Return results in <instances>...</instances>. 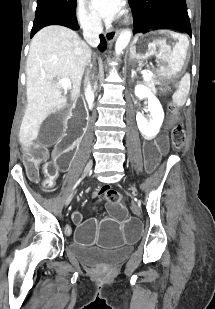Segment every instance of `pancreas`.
<instances>
[{
    "label": "pancreas",
    "mask_w": 215,
    "mask_h": 309,
    "mask_svg": "<svg viewBox=\"0 0 215 309\" xmlns=\"http://www.w3.org/2000/svg\"><path fill=\"white\" fill-rule=\"evenodd\" d=\"M144 82L145 84H148V86H152L153 90H156L154 78H150V80H144Z\"/></svg>",
    "instance_id": "pancreas-1"
}]
</instances>
